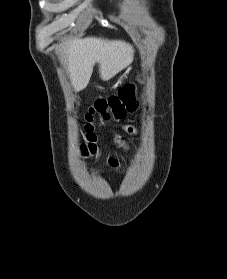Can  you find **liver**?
Masks as SVG:
<instances>
[{"label":"liver","mask_w":227,"mask_h":279,"mask_svg":"<svg viewBox=\"0 0 227 279\" xmlns=\"http://www.w3.org/2000/svg\"><path fill=\"white\" fill-rule=\"evenodd\" d=\"M62 42L59 48L64 53L75 91L86 88L95 64L99 65L101 79L106 81L129 66L134 58L133 47L121 40L86 37L66 39Z\"/></svg>","instance_id":"liver-1"}]
</instances>
